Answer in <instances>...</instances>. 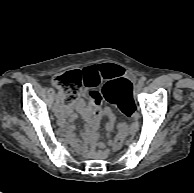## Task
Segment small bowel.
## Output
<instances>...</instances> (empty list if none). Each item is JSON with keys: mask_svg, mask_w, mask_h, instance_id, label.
Returning a JSON list of instances; mask_svg holds the SVG:
<instances>
[{"mask_svg": "<svg viewBox=\"0 0 194 193\" xmlns=\"http://www.w3.org/2000/svg\"><path fill=\"white\" fill-rule=\"evenodd\" d=\"M120 72L118 66L110 64L92 67L87 70L84 74L85 87L80 97L74 102L65 104L62 108L60 120L61 126L65 130L70 131L72 129L70 123L75 118L74 111H77L85 119L88 131H93L104 116L109 118L106 130L111 131L115 122V115L109 107H102L99 105L100 94L98 87L110 83L112 79L120 76ZM105 153V151H102V154Z\"/></svg>", "mask_w": 194, "mask_h": 193, "instance_id": "obj_1", "label": "small bowel"}]
</instances>
